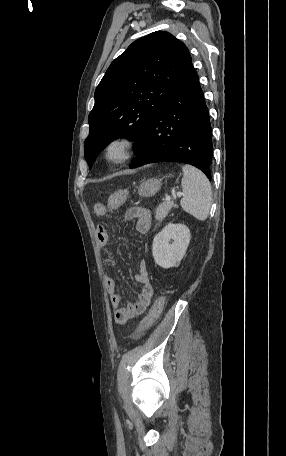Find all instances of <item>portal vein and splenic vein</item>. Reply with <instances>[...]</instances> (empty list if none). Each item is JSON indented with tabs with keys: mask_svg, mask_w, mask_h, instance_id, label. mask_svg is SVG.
Here are the masks:
<instances>
[{
	"mask_svg": "<svg viewBox=\"0 0 286 456\" xmlns=\"http://www.w3.org/2000/svg\"><path fill=\"white\" fill-rule=\"evenodd\" d=\"M176 195L178 197H181L183 194L181 192H177V194L174 195V197H176ZM171 200V197L169 195L166 196V201H170Z\"/></svg>",
	"mask_w": 286,
	"mask_h": 456,
	"instance_id": "portal-vein-and-splenic-vein-1",
	"label": "portal vein and splenic vein"
}]
</instances>
